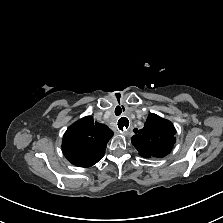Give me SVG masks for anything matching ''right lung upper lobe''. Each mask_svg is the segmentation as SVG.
Returning <instances> with one entry per match:
<instances>
[{"label":"right lung upper lobe","instance_id":"right-lung-upper-lobe-1","mask_svg":"<svg viewBox=\"0 0 223 223\" xmlns=\"http://www.w3.org/2000/svg\"><path fill=\"white\" fill-rule=\"evenodd\" d=\"M113 135L114 132L106 125L86 116L66 130L63 154L75 166L90 167L104 156L106 145Z\"/></svg>","mask_w":223,"mask_h":223}]
</instances>
